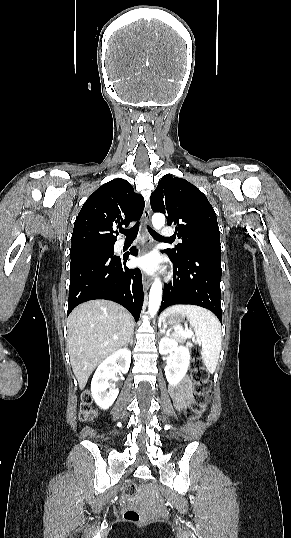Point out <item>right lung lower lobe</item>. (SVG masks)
Segmentation results:
<instances>
[{
	"mask_svg": "<svg viewBox=\"0 0 291 538\" xmlns=\"http://www.w3.org/2000/svg\"><path fill=\"white\" fill-rule=\"evenodd\" d=\"M137 256L138 250L130 251ZM115 255L97 254L71 260L68 312L93 299H107L128 309L139 320L144 293L139 269H128L126 261Z\"/></svg>",
	"mask_w": 291,
	"mask_h": 538,
	"instance_id": "98d812e1",
	"label": "right lung lower lobe"
}]
</instances>
